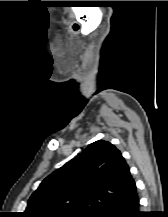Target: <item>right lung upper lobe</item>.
<instances>
[{
  "instance_id": "cb5924a9",
  "label": "right lung upper lobe",
  "mask_w": 168,
  "mask_h": 217,
  "mask_svg": "<svg viewBox=\"0 0 168 217\" xmlns=\"http://www.w3.org/2000/svg\"><path fill=\"white\" fill-rule=\"evenodd\" d=\"M137 191L120 151L103 140L89 144L50 174L28 201L23 217H96Z\"/></svg>"
}]
</instances>
